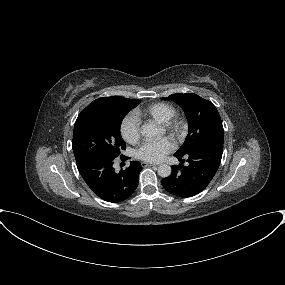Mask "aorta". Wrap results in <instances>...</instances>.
Segmentation results:
<instances>
[{"label":"aorta","mask_w":285,"mask_h":285,"mask_svg":"<svg viewBox=\"0 0 285 285\" xmlns=\"http://www.w3.org/2000/svg\"><path fill=\"white\" fill-rule=\"evenodd\" d=\"M142 136L145 137L146 139H159L162 135L161 130L156 127L155 125L152 124H147L142 128ZM171 167L167 164H161L158 167V174L159 176L166 178L171 175Z\"/></svg>","instance_id":"aorta-1"}]
</instances>
